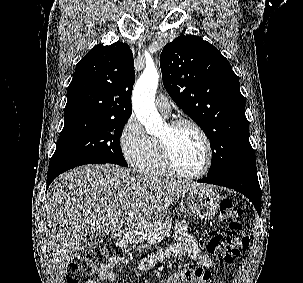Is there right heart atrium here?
<instances>
[{
  "label": "right heart atrium",
  "instance_id": "1",
  "mask_svg": "<svg viewBox=\"0 0 303 283\" xmlns=\"http://www.w3.org/2000/svg\"><path fill=\"white\" fill-rule=\"evenodd\" d=\"M151 137L145 132L138 119L131 115L119 134V146L126 162L137 166L148 152Z\"/></svg>",
  "mask_w": 303,
  "mask_h": 283
}]
</instances>
